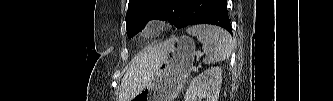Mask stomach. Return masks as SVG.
<instances>
[{
	"mask_svg": "<svg viewBox=\"0 0 333 101\" xmlns=\"http://www.w3.org/2000/svg\"><path fill=\"white\" fill-rule=\"evenodd\" d=\"M151 82L131 101H174L187 81L195 57V43L188 36L173 37Z\"/></svg>",
	"mask_w": 333,
	"mask_h": 101,
	"instance_id": "stomach-1",
	"label": "stomach"
}]
</instances>
